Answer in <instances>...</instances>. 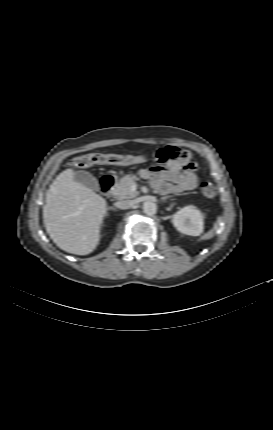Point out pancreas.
Wrapping results in <instances>:
<instances>
[{"mask_svg":"<svg viewBox=\"0 0 273 430\" xmlns=\"http://www.w3.org/2000/svg\"><path fill=\"white\" fill-rule=\"evenodd\" d=\"M134 184H136V178L131 175H125L114 187V195L118 199H131L136 197L139 193L137 191H131V186Z\"/></svg>","mask_w":273,"mask_h":430,"instance_id":"1","label":"pancreas"}]
</instances>
